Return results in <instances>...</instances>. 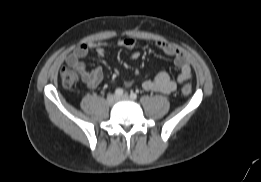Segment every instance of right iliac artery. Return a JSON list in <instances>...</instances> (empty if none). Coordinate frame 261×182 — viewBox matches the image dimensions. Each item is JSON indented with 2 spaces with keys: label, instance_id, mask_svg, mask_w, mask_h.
<instances>
[{
  "label": "right iliac artery",
  "instance_id": "right-iliac-artery-1",
  "mask_svg": "<svg viewBox=\"0 0 261 182\" xmlns=\"http://www.w3.org/2000/svg\"><path fill=\"white\" fill-rule=\"evenodd\" d=\"M123 94H124L123 89L117 88V89L115 90V95H116V96L120 97V96H122Z\"/></svg>",
  "mask_w": 261,
  "mask_h": 182
}]
</instances>
